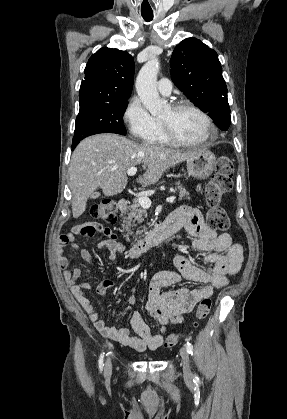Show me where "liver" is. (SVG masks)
<instances>
[{
	"mask_svg": "<svg viewBox=\"0 0 287 419\" xmlns=\"http://www.w3.org/2000/svg\"><path fill=\"white\" fill-rule=\"evenodd\" d=\"M198 150L178 151L139 144L117 134H97L82 140L72 153L68 175L72 193V214L80 217L90 195L101 188L104 195L121 193L128 182L127 170L147 167L137 182L155 184L165 170L193 156Z\"/></svg>",
	"mask_w": 287,
	"mask_h": 419,
	"instance_id": "liver-1",
	"label": "liver"
}]
</instances>
